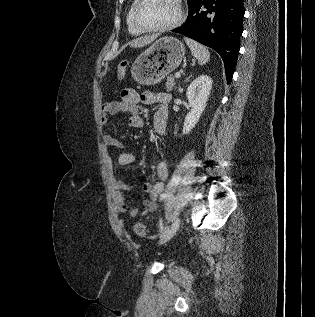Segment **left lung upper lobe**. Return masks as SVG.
<instances>
[{
  "label": "left lung upper lobe",
  "mask_w": 315,
  "mask_h": 317,
  "mask_svg": "<svg viewBox=\"0 0 315 317\" xmlns=\"http://www.w3.org/2000/svg\"><path fill=\"white\" fill-rule=\"evenodd\" d=\"M191 1H192V0H187V2H188V5H189V4L191 3Z\"/></svg>",
  "instance_id": "left-lung-upper-lobe-1"
}]
</instances>
